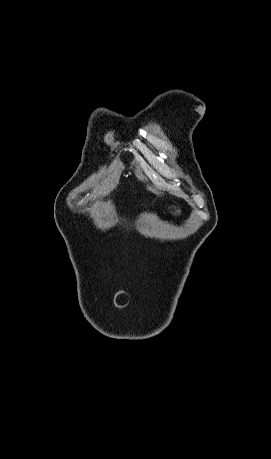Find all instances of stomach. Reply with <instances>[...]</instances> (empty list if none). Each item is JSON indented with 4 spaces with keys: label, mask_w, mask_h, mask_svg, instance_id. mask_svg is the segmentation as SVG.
Masks as SVG:
<instances>
[{
    "label": "stomach",
    "mask_w": 271,
    "mask_h": 459,
    "mask_svg": "<svg viewBox=\"0 0 271 459\" xmlns=\"http://www.w3.org/2000/svg\"><path fill=\"white\" fill-rule=\"evenodd\" d=\"M169 210L172 216H179V214H181V210H178V208H169Z\"/></svg>",
    "instance_id": "stomach-1"
}]
</instances>
